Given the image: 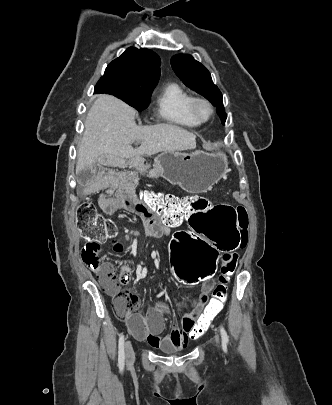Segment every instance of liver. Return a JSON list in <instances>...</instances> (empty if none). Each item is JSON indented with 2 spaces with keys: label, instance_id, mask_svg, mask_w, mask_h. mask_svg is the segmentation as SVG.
Returning a JSON list of instances; mask_svg holds the SVG:
<instances>
[{
  "label": "liver",
  "instance_id": "6515ba94",
  "mask_svg": "<svg viewBox=\"0 0 332 405\" xmlns=\"http://www.w3.org/2000/svg\"><path fill=\"white\" fill-rule=\"evenodd\" d=\"M134 117L135 110L121 100L100 95L87 114L76 173L96 162L118 166L124 159L196 148L193 133L173 124L138 127ZM135 141L141 142L137 149L131 146Z\"/></svg>",
  "mask_w": 332,
  "mask_h": 405
}]
</instances>
